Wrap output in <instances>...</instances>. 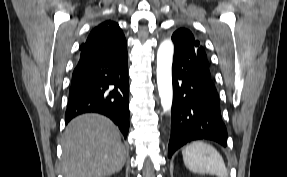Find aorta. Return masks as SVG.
I'll return each instance as SVG.
<instances>
[{"mask_svg":"<svg viewBox=\"0 0 287 177\" xmlns=\"http://www.w3.org/2000/svg\"><path fill=\"white\" fill-rule=\"evenodd\" d=\"M174 46L170 40L163 41L157 51V86L162 108L165 112L171 110L172 90V60Z\"/></svg>","mask_w":287,"mask_h":177,"instance_id":"aorta-1","label":"aorta"}]
</instances>
